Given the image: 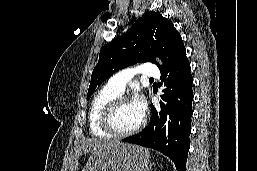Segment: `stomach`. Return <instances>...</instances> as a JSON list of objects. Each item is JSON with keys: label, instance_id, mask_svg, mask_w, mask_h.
Returning <instances> with one entry per match:
<instances>
[{"label": "stomach", "instance_id": "obj_1", "mask_svg": "<svg viewBox=\"0 0 257 171\" xmlns=\"http://www.w3.org/2000/svg\"><path fill=\"white\" fill-rule=\"evenodd\" d=\"M149 160L150 155L146 149L116 142L92 152L82 171H144Z\"/></svg>", "mask_w": 257, "mask_h": 171}]
</instances>
